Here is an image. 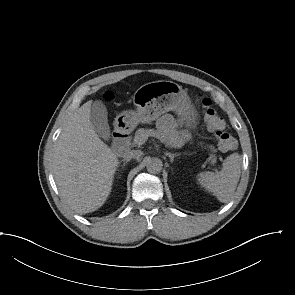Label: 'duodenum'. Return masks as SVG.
<instances>
[{
	"label": "duodenum",
	"instance_id": "1",
	"mask_svg": "<svg viewBox=\"0 0 295 295\" xmlns=\"http://www.w3.org/2000/svg\"><path fill=\"white\" fill-rule=\"evenodd\" d=\"M112 146L115 154L119 156L127 154L130 146V135L128 130L117 127L113 133Z\"/></svg>",
	"mask_w": 295,
	"mask_h": 295
}]
</instances>
